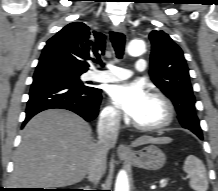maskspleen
I'll return each instance as SVG.
<instances>
[{"instance_id":"3e777b00","label":"spleen","mask_w":218,"mask_h":191,"mask_svg":"<svg viewBox=\"0 0 218 191\" xmlns=\"http://www.w3.org/2000/svg\"><path fill=\"white\" fill-rule=\"evenodd\" d=\"M183 170L190 176V187L195 191H207L208 180L203 162L194 155H189L183 166Z\"/></svg>"}]
</instances>
